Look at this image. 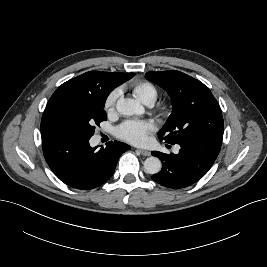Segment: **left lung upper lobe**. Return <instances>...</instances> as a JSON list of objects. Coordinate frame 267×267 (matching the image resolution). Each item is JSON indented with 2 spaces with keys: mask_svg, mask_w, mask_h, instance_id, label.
I'll use <instances>...</instances> for the list:
<instances>
[{
  "mask_svg": "<svg viewBox=\"0 0 267 267\" xmlns=\"http://www.w3.org/2000/svg\"><path fill=\"white\" fill-rule=\"evenodd\" d=\"M146 78L171 97L173 110L158 137L169 144L223 136L220 106L202 82L175 70L148 72Z\"/></svg>",
  "mask_w": 267,
  "mask_h": 267,
  "instance_id": "5c2ea615",
  "label": "left lung upper lobe"
}]
</instances>
